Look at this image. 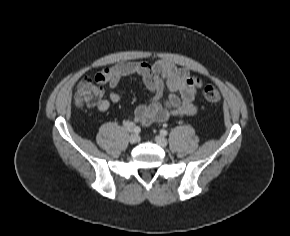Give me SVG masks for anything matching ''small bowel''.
Returning a JSON list of instances; mask_svg holds the SVG:
<instances>
[{"label": "small bowel", "mask_w": 290, "mask_h": 236, "mask_svg": "<svg viewBox=\"0 0 290 236\" xmlns=\"http://www.w3.org/2000/svg\"><path fill=\"white\" fill-rule=\"evenodd\" d=\"M132 75L141 77L151 94L147 103L135 109L133 114L135 122L145 126L196 113L195 96L203 80L192 75L188 70L164 60L153 63L122 62L103 69L96 77L100 78L102 84H108L109 92L107 97H103V91H101L94 107L104 112L111 104L119 103L121 97L116 89L124 77ZM166 89L169 95L164 99ZM131 123V121H126L125 126Z\"/></svg>", "instance_id": "obj_1"}]
</instances>
